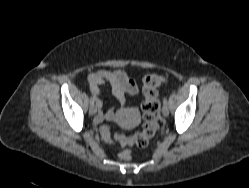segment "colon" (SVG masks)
<instances>
[{"label":"colon","instance_id":"obj_1","mask_svg":"<svg viewBox=\"0 0 249 188\" xmlns=\"http://www.w3.org/2000/svg\"><path fill=\"white\" fill-rule=\"evenodd\" d=\"M165 77L161 75H148L143 80V126L133 136L127 137L120 134H113L108 126L101 128V133L107 142H118L122 145H136L145 147L149 140L156 134L160 122V103L158 100L157 88L165 82ZM119 157L123 160L131 158L129 150H123L119 153Z\"/></svg>","mask_w":249,"mask_h":188}]
</instances>
